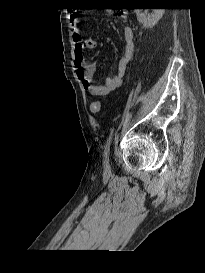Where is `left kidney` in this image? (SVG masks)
<instances>
[{"label": "left kidney", "mask_w": 205, "mask_h": 273, "mask_svg": "<svg viewBox=\"0 0 205 273\" xmlns=\"http://www.w3.org/2000/svg\"><path fill=\"white\" fill-rule=\"evenodd\" d=\"M139 23L143 24L146 28H151L160 20L163 16L165 9H152L151 14L143 13L142 9L134 10Z\"/></svg>", "instance_id": "1"}]
</instances>
